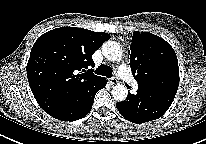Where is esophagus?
Returning <instances> with one entry per match:
<instances>
[{
  "label": "esophagus",
  "mask_w": 206,
  "mask_h": 144,
  "mask_svg": "<svg viewBox=\"0 0 206 144\" xmlns=\"http://www.w3.org/2000/svg\"><path fill=\"white\" fill-rule=\"evenodd\" d=\"M110 84L115 85L118 82V79L115 77H112L109 79Z\"/></svg>",
  "instance_id": "34e87169"
}]
</instances>
